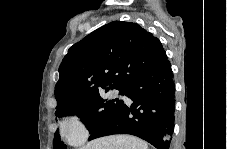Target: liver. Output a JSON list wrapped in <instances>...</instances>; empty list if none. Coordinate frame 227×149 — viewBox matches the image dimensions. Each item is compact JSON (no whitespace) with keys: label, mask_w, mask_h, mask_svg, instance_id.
<instances>
[{"label":"liver","mask_w":227,"mask_h":149,"mask_svg":"<svg viewBox=\"0 0 227 149\" xmlns=\"http://www.w3.org/2000/svg\"><path fill=\"white\" fill-rule=\"evenodd\" d=\"M81 149H148V145L131 135H111L93 140Z\"/></svg>","instance_id":"1"}]
</instances>
